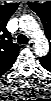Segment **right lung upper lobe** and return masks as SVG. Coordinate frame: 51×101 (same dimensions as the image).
<instances>
[{
	"instance_id": "cb5924a9",
	"label": "right lung upper lobe",
	"mask_w": 51,
	"mask_h": 101,
	"mask_svg": "<svg viewBox=\"0 0 51 101\" xmlns=\"http://www.w3.org/2000/svg\"><path fill=\"white\" fill-rule=\"evenodd\" d=\"M18 6V3L0 6V75L12 67L21 48L12 42L11 33L6 29L9 18Z\"/></svg>"
}]
</instances>
